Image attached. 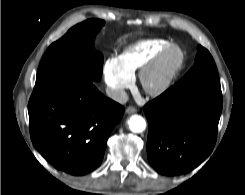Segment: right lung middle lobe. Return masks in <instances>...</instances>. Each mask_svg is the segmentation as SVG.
<instances>
[{"label":"right lung middle lobe","mask_w":245,"mask_h":195,"mask_svg":"<svg viewBox=\"0 0 245 195\" xmlns=\"http://www.w3.org/2000/svg\"><path fill=\"white\" fill-rule=\"evenodd\" d=\"M103 25V20L84 21L51 44L38 67L33 92L44 91L70 79L100 80L103 57L92 49V43ZM82 60L85 62H80Z\"/></svg>","instance_id":"right-lung-middle-lobe-1"}]
</instances>
